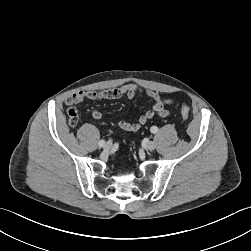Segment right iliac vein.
<instances>
[{
    "mask_svg": "<svg viewBox=\"0 0 251 251\" xmlns=\"http://www.w3.org/2000/svg\"><path fill=\"white\" fill-rule=\"evenodd\" d=\"M112 147V143L111 142H107L105 145H104V150H110Z\"/></svg>",
    "mask_w": 251,
    "mask_h": 251,
    "instance_id": "1",
    "label": "right iliac vein"
}]
</instances>
